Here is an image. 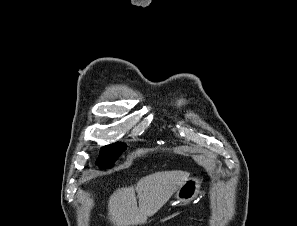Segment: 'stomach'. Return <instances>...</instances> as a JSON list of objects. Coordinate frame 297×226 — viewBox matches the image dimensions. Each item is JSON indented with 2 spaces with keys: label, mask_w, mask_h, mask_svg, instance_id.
Returning a JSON list of instances; mask_svg holds the SVG:
<instances>
[{
  "label": "stomach",
  "mask_w": 297,
  "mask_h": 226,
  "mask_svg": "<svg viewBox=\"0 0 297 226\" xmlns=\"http://www.w3.org/2000/svg\"><path fill=\"white\" fill-rule=\"evenodd\" d=\"M201 180L196 177L188 178L175 193V204L187 205L197 198L200 193Z\"/></svg>",
  "instance_id": "stomach-1"
}]
</instances>
